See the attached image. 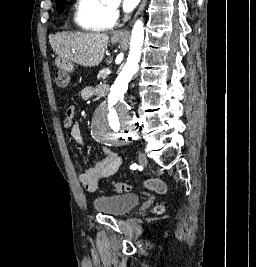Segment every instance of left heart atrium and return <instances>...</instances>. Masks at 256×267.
Segmentation results:
<instances>
[{"mask_svg": "<svg viewBox=\"0 0 256 267\" xmlns=\"http://www.w3.org/2000/svg\"><path fill=\"white\" fill-rule=\"evenodd\" d=\"M132 1L133 0H122V6H123L124 11L128 12L132 9V5H131Z\"/></svg>", "mask_w": 256, "mask_h": 267, "instance_id": "obj_1", "label": "left heart atrium"}]
</instances>
